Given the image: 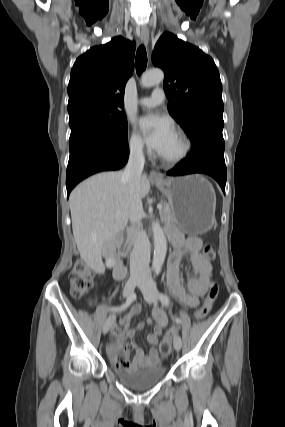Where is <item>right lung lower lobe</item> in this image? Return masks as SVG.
Instances as JSON below:
<instances>
[{
	"mask_svg": "<svg viewBox=\"0 0 285 427\" xmlns=\"http://www.w3.org/2000/svg\"><path fill=\"white\" fill-rule=\"evenodd\" d=\"M129 156L128 142L114 144L99 137H88L70 149L67 167V196L81 180L108 170L122 168Z\"/></svg>",
	"mask_w": 285,
	"mask_h": 427,
	"instance_id": "98d812e1",
	"label": "right lung lower lobe"
}]
</instances>
